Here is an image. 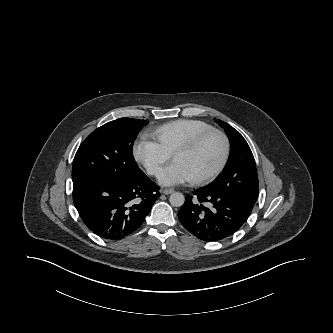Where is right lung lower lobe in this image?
Here are the masks:
<instances>
[{
	"label": "right lung lower lobe",
	"mask_w": 333,
	"mask_h": 333,
	"mask_svg": "<svg viewBox=\"0 0 333 333\" xmlns=\"http://www.w3.org/2000/svg\"><path fill=\"white\" fill-rule=\"evenodd\" d=\"M159 186L141 170L129 182L95 180L73 186V202L85 225L107 240L138 229L160 196Z\"/></svg>",
	"instance_id": "98d812e1"
}]
</instances>
